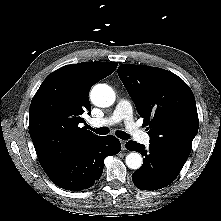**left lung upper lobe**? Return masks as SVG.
<instances>
[{"label": "left lung upper lobe", "mask_w": 221, "mask_h": 221, "mask_svg": "<svg viewBox=\"0 0 221 221\" xmlns=\"http://www.w3.org/2000/svg\"><path fill=\"white\" fill-rule=\"evenodd\" d=\"M118 75L148 126L150 144L185 163L199 127L188 85L167 70L144 65L122 64Z\"/></svg>", "instance_id": "left-lung-upper-lobe-1"}]
</instances>
